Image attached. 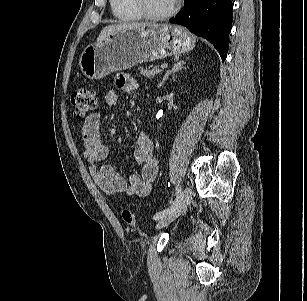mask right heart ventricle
<instances>
[{
	"mask_svg": "<svg viewBox=\"0 0 307 301\" xmlns=\"http://www.w3.org/2000/svg\"><path fill=\"white\" fill-rule=\"evenodd\" d=\"M114 16L122 22H134L142 19L131 0H110Z\"/></svg>",
	"mask_w": 307,
	"mask_h": 301,
	"instance_id": "1",
	"label": "right heart ventricle"
}]
</instances>
